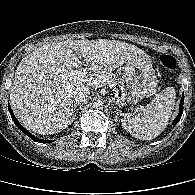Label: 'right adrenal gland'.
I'll return each instance as SVG.
<instances>
[{"mask_svg": "<svg viewBox=\"0 0 195 195\" xmlns=\"http://www.w3.org/2000/svg\"><path fill=\"white\" fill-rule=\"evenodd\" d=\"M80 106V103H75L73 105V119L76 117V108Z\"/></svg>", "mask_w": 195, "mask_h": 195, "instance_id": "obj_1", "label": "right adrenal gland"}]
</instances>
